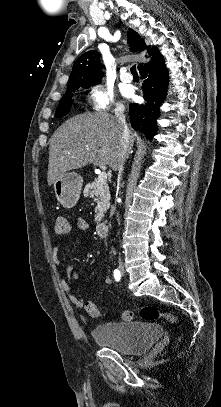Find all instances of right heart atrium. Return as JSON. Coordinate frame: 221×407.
Here are the masks:
<instances>
[{"label": "right heart atrium", "instance_id": "1", "mask_svg": "<svg viewBox=\"0 0 221 407\" xmlns=\"http://www.w3.org/2000/svg\"><path fill=\"white\" fill-rule=\"evenodd\" d=\"M89 107L96 112L122 111L124 106L115 99L114 93L101 84H93L87 90Z\"/></svg>", "mask_w": 221, "mask_h": 407}]
</instances>
